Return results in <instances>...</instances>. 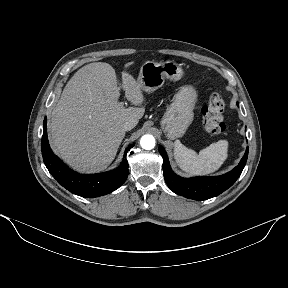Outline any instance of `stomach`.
I'll return each instance as SVG.
<instances>
[{
  "label": "stomach",
  "instance_id": "1",
  "mask_svg": "<svg viewBox=\"0 0 288 288\" xmlns=\"http://www.w3.org/2000/svg\"><path fill=\"white\" fill-rule=\"evenodd\" d=\"M182 76L183 69L174 61H147L140 68L137 82L141 90L150 93L162 87L165 79L177 81ZM196 101L197 92L193 86L180 87L161 121V128L167 138L176 139L185 134L193 121Z\"/></svg>",
  "mask_w": 288,
  "mask_h": 288
}]
</instances>
